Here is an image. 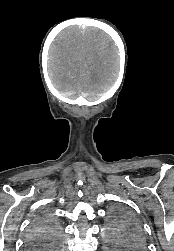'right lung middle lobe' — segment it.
I'll return each instance as SVG.
<instances>
[{
  "mask_svg": "<svg viewBox=\"0 0 174 251\" xmlns=\"http://www.w3.org/2000/svg\"><path fill=\"white\" fill-rule=\"evenodd\" d=\"M59 233L60 227L50 215H38L28 236V247L31 250H59Z\"/></svg>",
  "mask_w": 174,
  "mask_h": 251,
  "instance_id": "obj_1",
  "label": "right lung middle lobe"
}]
</instances>
